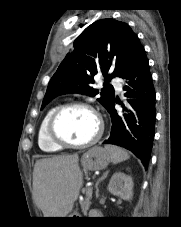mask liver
Masks as SVG:
<instances>
[{
  "label": "liver",
  "instance_id": "liver-1",
  "mask_svg": "<svg viewBox=\"0 0 181 227\" xmlns=\"http://www.w3.org/2000/svg\"><path fill=\"white\" fill-rule=\"evenodd\" d=\"M78 154L44 158L35 163L33 192L44 217H66L83 185Z\"/></svg>",
  "mask_w": 181,
  "mask_h": 227
}]
</instances>
